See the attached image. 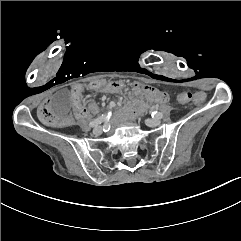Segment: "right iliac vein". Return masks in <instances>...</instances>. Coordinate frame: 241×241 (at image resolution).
<instances>
[{
	"instance_id": "1",
	"label": "right iliac vein",
	"mask_w": 241,
	"mask_h": 241,
	"mask_svg": "<svg viewBox=\"0 0 241 241\" xmlns=\"http://www.w3.org/2000/svg\"><path fill=\"white\" fill-rule=\"evenodd\" d=\"M93 133L95 135H100L102 133V127L101 126L95 127L94 130H93Z\"/></svg>"
}]
</instances>
